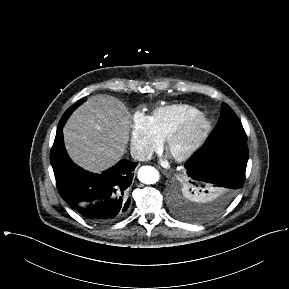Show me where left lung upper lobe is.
<instances>
[{"label": "left lung upper lobe", "mask_w": 289, "mask_h": 289, "mask_svg": "<svg viewBox=\"0 0 289 289\" xmlns=\"http://www.w3.org/2000/svg\"><path fill=\"white\" fill-rule=\"evenodd\" d=\"M246 140L247 137L240 120L234 111L223 103L219 121L203 146L209 147L224 142ZM213 197L204 188L188 186L184 182L174 201L173 211L180 218L189 221L209 220L219 214L213 210Z\"/></svg>", "instance_id": "5c2ea615"}]
</instances>
